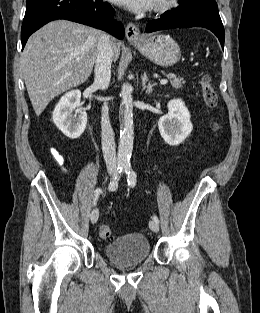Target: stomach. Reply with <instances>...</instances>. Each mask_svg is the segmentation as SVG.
Wrapping results in <instances>:
<instances>
[{
  "label": "stomach",
  "instance_id": "stomach-1",
  "mask_svg": "<svg viewBox=\"0 0 260 313\" xmlns=\"http://www.w3.org/2000/svg\"><path fill=\"white\" fill-rule=\"evenodd\" d=\"M132 44L135 45L146 58L162 67L173 66L181 57L179 45L169 35H148L140 40L132 41Z\"/></svg>",
  "mask_w": 260,
  "mask_h": 313
}]
</instances>
